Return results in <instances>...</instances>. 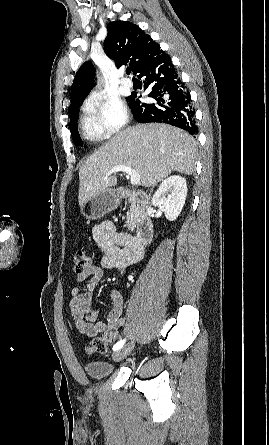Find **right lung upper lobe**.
Segmentation results:
<instances>
[{"label": "right lung upper lobe", "mask_w": 269, "mask_h": 445, "mask_svg": "<svg viewBox=\"0 0 269 445\" xmlns=\"http://www.w3.org/2000/svg\"><path fill=\"white\" fill-rule=\"evenodd\" d=\"M107 29L104 51L115 61L117 67L128 63L136 75L146 65L165 55L149 35L128 21L111 22ZM94 77V66L89 61L85 62L72 84L70 108L83 102L93 88Z\"/></svg>", "instance_id": "right-lung-upper-lobe-1"}]
</instances>
